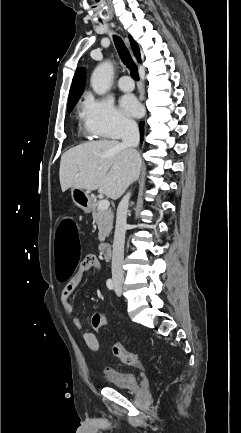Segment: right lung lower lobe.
Listing matches in <instances>:
<instances>
[{
  "label": "right lung lower lobe",
  "instance_id": "obj_1",
  "mask_svg": "<svg viewBox=\"0 0 241 433\" xmlns=\"http://www.w3.org/2000/svg\"><path fill=\"white\" fill-rule=\"evenodd\" d=\"M140 128H141V132H142V123L140 124ZM143 135V133H141V136ZM142 140V139H141Z\"/></svg>",
  "mask_w": 241,
  "mask_h": 433
}]
</instances>
